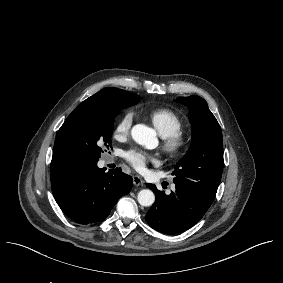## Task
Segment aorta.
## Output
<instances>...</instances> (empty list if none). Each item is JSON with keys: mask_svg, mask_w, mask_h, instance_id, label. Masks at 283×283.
Wrapping results in <instances>:
<instances>
[{"mask_svg": "<svg viewBox=\"0 0 283 283\" xmlns=\"http://www.w3.org/2000/svg\"><path fill=\"white\" fill-rule=\"evenodd\" d=\"M131 136L136 143L148 149L156 147L158 143L155 130L144 124L133 126ZM137 200L140 205L148 207L155 202V195L150 189H143L139 191Z\"/></svg>", "mask_w": 283, "mask_h": 283, "instance_id": "obj_1", "label": "aorta"}]
</instances>
